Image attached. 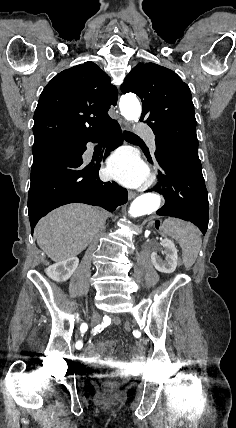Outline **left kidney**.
<instances>
[{
    "mask_svg": "<svg viewBox=\"0 0 236 428\" xmlns=\"http://www.w3.org/2000/svg\"><path fill=\"white\" fill-rule=\"evenodd\" d=\"M161 246L164 248L162 254H165V260H162L157 252H153V254H151V262L158 272L172 274V272H175L177 266V250L173 242L167 240V238L163 240Z\"/></svg>",
    "mask_w": 236,
    "mask_h": 428,
    "instance_id": "5707ae66",
    "label": "left kidney"
}]
</instances>
